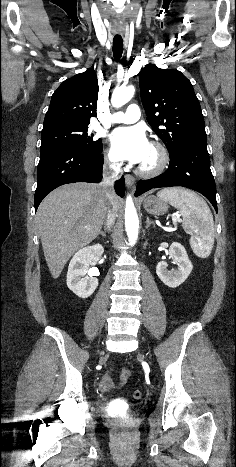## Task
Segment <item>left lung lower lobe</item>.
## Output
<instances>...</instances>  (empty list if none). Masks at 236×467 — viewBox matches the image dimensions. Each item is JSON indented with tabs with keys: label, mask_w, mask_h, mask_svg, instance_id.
Segmentation results:
<instances>
[{
	"label": "left lung lower lobe",
	"mask_w": 236,
	"mask_h": 467,
	"mask_svg": "<svg viewBox=\"0 0 236 467\" xmlns=\"http://www.w3.org/2000/svg\"><path fill=\"white\" fill-rule=\"evenodd\" d=\"M171 186H183L203 194L217 212L216 186L210 170L206 139H194L183 143L170 155V164L166 172L138 182L135 196L152 188Z\"/></svg>",
	"instance_id": "1"
}]
</instances>
